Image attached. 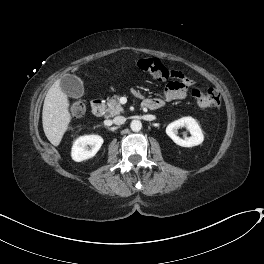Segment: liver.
Segmentation results:
<instances>
[{
  "mask_svg": "<svg viewBox=\"0 0 264 264\" xmlns=\"http://www.w3.org/2000/svg\"><path fill=\"white\" fill-rule=\"evenodd\" d=\"M79 67L73 69L78 70ZM67 94L61 88V79L56 80L48 90L42 111L43 130L54 146H58L69 128L71 114Z\"/></svg>",
  "mask_w": 264,
  "mask_h": 264,
  "instance_id": "6515ba94",
  "label": "liver"
}]
</instances>
